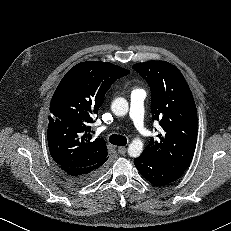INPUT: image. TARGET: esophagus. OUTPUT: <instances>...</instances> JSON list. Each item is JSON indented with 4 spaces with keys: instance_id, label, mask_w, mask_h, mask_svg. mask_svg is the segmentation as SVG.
Segmentation results:
<instances>
[{
    "instance_id": "34e87169",
    "label": "esophagus",
    "mask_w": 231,
    "mask_h": 231,
    "mask_svg": "<svg viewBox=\"0 0 231 231\" xmlns=\"http://www.w3.org/2000/svg\"><path fill=\"white\" fill-rule=\"evenodd\" d=\"M127 149L125 147H118V153L120 155H124L126 153Z\"/></svg>"
}]
</instances>
